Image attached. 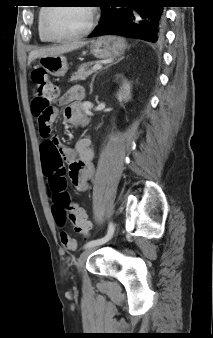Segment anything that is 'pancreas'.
<instances>
[{
    "mask_svg": "<svg viewBox=\"0 0 213 338\" xmlns=\"http://www.w3.org/2000/svg\"><path fill=\"white\" fill-rule=\"evenodd\" d=\"M94 72L95 70H88L87 68H81L72 75L70 82H77L80 80H85L88 76H90Z\"/></svg>",
    "mask_w": 213,
    "mask_h": 338,
    "instance_id": "1",
    "label": "pancreas"
}]
</instances>
